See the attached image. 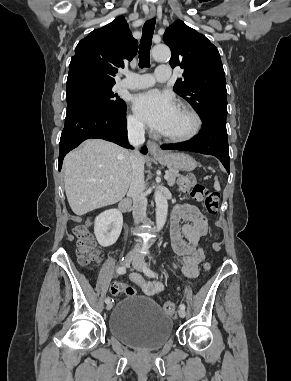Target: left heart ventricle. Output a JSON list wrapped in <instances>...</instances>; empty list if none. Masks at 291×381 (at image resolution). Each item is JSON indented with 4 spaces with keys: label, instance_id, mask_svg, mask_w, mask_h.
<instances>
[{
    "label": "left heart ventricle",
    "instance_id": "obj_1",
    "mask_svg": "<svg viewBox=\"0 0 291 381\" xmlns=\"http://www.w3.org/2000/svg\"><path fill=\"white\" fill-rule=\"evenodd\" d=\"M193 124L194 121L191 115L185 110L177 107L167 127L162 133L168 135H183L192 129Z\"/></svg>",
    "mask_w": 291,
    "mask_h": 381
}]
</instances>
